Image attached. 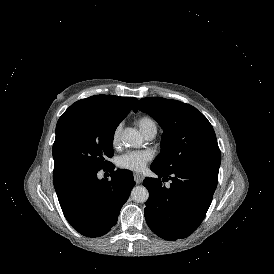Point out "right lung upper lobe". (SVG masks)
I'll use <instances>...</instances> for the list:
<instances>
[{"mask_svg": "<svg viewBox=\"0 0 274 274\" xmlns=\"http://www.w3.org/2000/svg\"><path fill=\"white\" fill-rule=\"evenodd\" d=\"M136 98L119 97L114 95H95L86 99L79 100L72 104L60 117L57 126L66 117L84 110H98V109H118L129 113L136 102ZM56 126V127H57Z\"/></svg>", "mask_w": 274, "mask_h": 274, "instance_id": "obj_1", "label": "right lung upper lobe"}]
</instances>
